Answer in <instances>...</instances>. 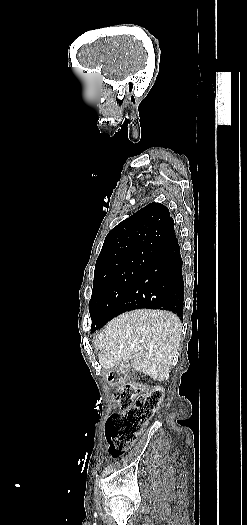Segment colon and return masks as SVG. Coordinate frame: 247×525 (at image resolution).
Wrapping results in <instances>:
<instances>
[{
    "label": "colon",
    "mask_w": 247,
    "mask_h": 525,
    "mask_svg": "<svg viewBox=\"0 0 247 525\" xmlns=\"http://www.w3.org/2000/svg\"><path fill=\"white\" fill-rule=\"evenodd\" d=\"M163 398L161 388L143 387L131 382L116 388L114 399L122 409L127 410L112 414L107 422L106 440L110 456L121 458L124 455L157 412Z\"/></svg>",
    "instance_id": "obj_1"
}]
</instances>
